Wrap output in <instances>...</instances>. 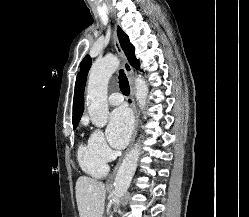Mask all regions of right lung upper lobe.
I'll use <instances>...</instances> for the list:
<instances>
[{
    "mask_svg": "<svg viewBox=\"0 0 249 217\" xmlns=\"http://www.w3.org/2000/svg\"><path fill=\"white\" fill-rule=\"evenodd\" d=\"M84 82L81 79L80 74H78L76 83H75V92H74V100H73V126L78 125L81 115L83 114L84 107Z\"/></svg>",
    "mask_w": 249,
    "mask_h": 217,
    "instance_id": "obj_1",
    "label": "right lung upper lobe"
}]
</instances>
